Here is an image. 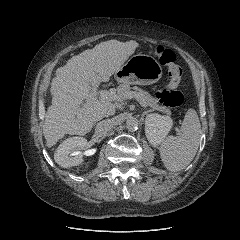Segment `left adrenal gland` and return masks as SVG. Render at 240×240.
<instances>
[{
  "label": "left adrenal gland",
  "instance_id": "obj_1",
  "mask_svg": "<svg viewBox=\"0 0 240 240\" xmlns=\"http://www.w3.org/2000/svg\"><path fill=\"white\" fill-rule=\"evenodd\" d=\"M149 111H144L142 115H145L146 113H148Z\"/></svg>",
  "mask_w": 240,
  "mask_h": 240
}]
</instances>
